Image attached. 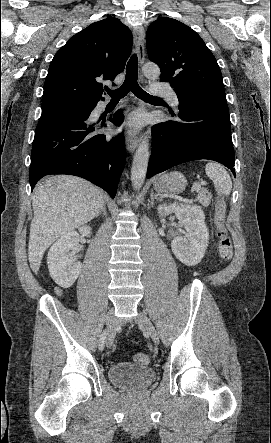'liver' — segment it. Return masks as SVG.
Wrapping results in <instances>:
<instances>
[{
    "label": "liver",
    "instance_id": "1",
    "mask_svg": "<svg viewBox=\"0 0 271 443\" xmlns=\"http://www.w3.org/2000/svg\"><path fill=\"white\" fill-rule=\"evenodd\" d=\"M105 206L101 190L76 176H51L38 182L33 196L28 261L38 273L43 255L58 237L91 222Z\"/></svg>",
    "mask_w": 271,
    "mask_h": 443
}]
</instances>
